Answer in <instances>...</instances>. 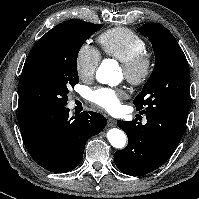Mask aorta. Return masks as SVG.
I'll list each match as a JSON object with an SVG mask.
<instances>
[{
    "mask_svg": "<svg viewBox=\"0 0 199 199\" xmlns=\"http://www.w3.org/2000/svg\"><path fill=\"white\" fill-rule=\"evenodd\" d=\"M96 78L103 84L117 83L120 80L119 74L108 68L105 63H102L97 70ZM107 138L110 144L117 149H122L127 143L125 133L118 128L110 129L107 132Z\"/></svg>",
    "mask_w": 199,
    "mask_h": 199,
    "instance_id": "obj_1",
    "label": "aorta"
}]
</instances>
